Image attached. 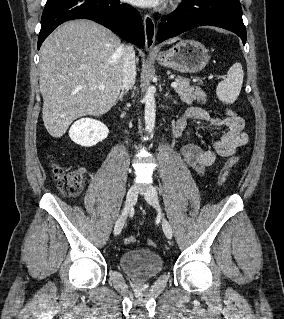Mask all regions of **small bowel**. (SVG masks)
I'll use <instances>...</instances> for the list:
<instances>
[{"label": "small bowel", "mask_w": 284, "mask_h": 319, "mask_svg": "<svg viewBox=\"0 0 284 319\" xmlns=\"http://www.w3.org/2000/svg\"><path fill=\"white\" fill-rule=\"evenodd\" d=\"M188 119L202 121L223 130L222 136L214 142L211 149L203 148L196 143H186L182 146L181 155L184 162L199 175H203L218 156L230 157L248 142V135L244 131L245 122L239 116L214 117L203 108L189 107L175 122V135H180L185 130Z\"/></svg>", "instance_id": "small-bowel-1"}]
</instances>
